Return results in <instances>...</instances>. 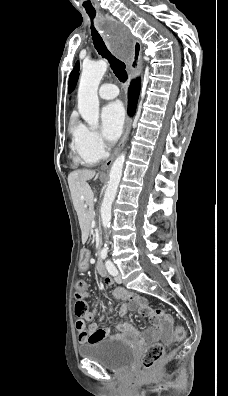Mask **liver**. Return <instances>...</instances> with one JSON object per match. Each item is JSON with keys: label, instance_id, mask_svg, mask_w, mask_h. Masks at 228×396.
Segmentation results:
<instances>
[{"label": "liver", "instance_id": "liver-1", "mask_svg": "<svg viewBox=\"0 0 228 396\" xmlns=\"http://www.w3.org/2000/svg\"><path fill=\"white\" fill-rule=\"evenodd\" d=\"M94 170H75L68 175V184L71 192L74 208L77 212L80 227L82 230V239L85 242L89 230V222L93 216V198L94 194L87 183L94 178ZM98 177V175H96Z\"/></svg>", "mask_w": 228, "mask_h": 396}]
</instances>
